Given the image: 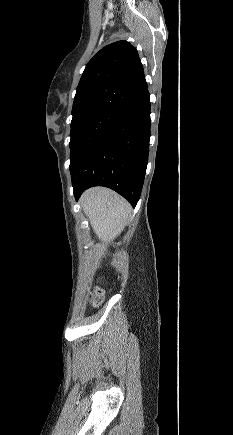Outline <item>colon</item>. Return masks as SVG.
Returning <instances> with one entry per match:
<instances>
[{
	"mask_svg": "<svg viewBox=\"0 0 233 435\" xmlns=\"http://www.w3.org/2000/svg\"><path fill=\"white\" fill-rule=\"evenodd\" d=\"M103 291L99 287H94L93 291L89 294L88 301L93 307H98L103 303Z\"/></svg>",
	"mask_w": 233,
	"mask_h": 435,
	"instance_id": "1",
	"label": "colon"
}]
</instances>
